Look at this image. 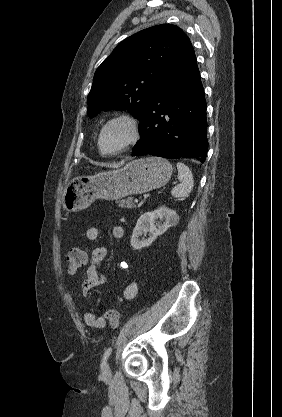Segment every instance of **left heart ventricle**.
<instances>
[{
	"instance_id": "left-heart-ventricle-1",
	"label": "left heart ventricle",
	"mask_w": 282,
	"mask_h": 417,
	"mask_svg": "<svg viewBox=\"0 0 282 417\" xmlns=\"http://www.w3.org/2000/svg\"><path fill=\"white\" fill-rule=\"evenodd\" d=\"M125 130L121 127H115L109 130L103 137L102 145L106 151H110L118 146L125 138Z\"/></svg>"
}]
</instances>
